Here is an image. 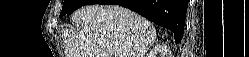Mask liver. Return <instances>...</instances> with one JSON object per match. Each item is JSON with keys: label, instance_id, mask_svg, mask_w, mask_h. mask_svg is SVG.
I'll use <instances>...</instances> for the list:
<instances>
[{"label": "liver", "instance_id": "6515ba94", "mask_svg": "<svg viewBox=\"0 0 249 57\" xmlns=\"http://www.w3.org/2000/svg\"><path fill=\"white\" fill-rule=\"evenodd\" d=\"M72 21L82 29L63 31L67 57H144L156 39L154 25L118 5H87Z\"/></svg>", "mask_w": 249, "mask_h": 57}]
</instances>
